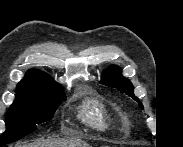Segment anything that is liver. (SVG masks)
<instances>
[{"label": "liver", "instance_id": "1", "mask_svg": "<svg viewBox=\"0 0 183 147\" xmlns=\"http://www.w3.org/2000/svg\"><path fill=\"white\" fill-rule=\"evenodd\" d=\"M19 147H90L79 138H64L51 140H37L34 143L23 144Z\"/></svg>", "mask_w": 183, "mask_h": 147}]
</instances>
